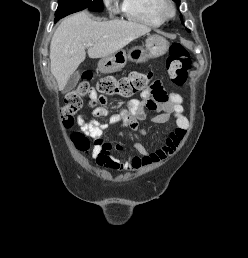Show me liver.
<instances>
[{
  "label": "liver",
  "mask_w": 248,
  "mask_h": 258,
  "mask_svg": "<svg viewBox=\"0 0 248 258\" xmlns=\"http://www.w3.org/2000/svg\"><path fill=\"white\" fill-rule=\"evenodd\" d=\"M151 31L146 25L125 21H94L87 12L65 18L58 26L50 44L51 73L59 90H63L78 66L88 56L104 58L121 50L131 41Z\"/></svg>",
  "instance_id": "obj_1"
}]
</instances>
